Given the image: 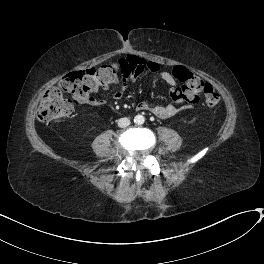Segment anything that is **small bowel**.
<instances>
[{
  "label": "small bowel",
  "mask_w": 264,
  "mask_h": 264,
  "mask_svg": "<svg viewBox=\"0 0 264 264\" xmlns=\"http://www.w3.org/2000/svg\"><path fill=\"white\" fill-rule=\"evenodd\" d=\"M122 61H124L125 69L122 68L120 70L121 84L112 94V98L114 100H120L124 96L129 85H131L138 79L143 70L150 71L170 86L177 85V79L173 76L172 72L160 70L159 65L154 61L145 60L134 56L126 57L122 59ZM82 101L83 103L90 106H100L107 103V99L105 98H96L89 95L85 96ZM195 102L196 100L191 103ZM135 108L138 111H149L162 119L172 117L177 111L176 107L172 104L154 105L147 100L137 102L135 104Z\"/></svg>",
  "instance_id": "1"
}]
</instances>
